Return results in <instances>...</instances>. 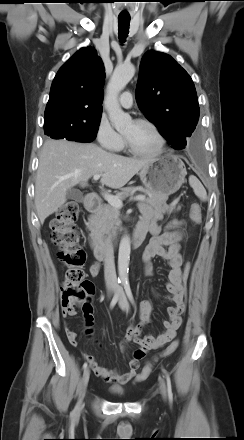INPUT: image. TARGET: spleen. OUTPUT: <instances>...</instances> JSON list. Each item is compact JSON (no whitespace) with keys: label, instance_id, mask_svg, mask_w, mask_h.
<instances>
[{"label":"spleen","instance_id":"3e777b00","mask_svg":"<svg viewBox=\"0 0 244 440\" xmlns=\"http://www.w3.org/2000/svg\"><path fill=\"white\" fill-rule=\"evenodd\" d=\"M189 184L192 187L195 195L201 200V201H207V192L201 182L195 177L194 175L189 176Z\"/></svg>","mask_w":244,"mask_h":440}]
</instances>
